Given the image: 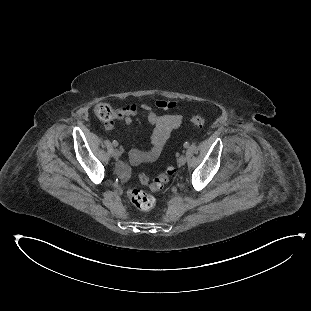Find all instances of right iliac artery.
I'll use <instances>...</instances> for the list:
<instances>
[{
    "label": "right iliac artery",
    "mask_w": 311,
    "mask_h": 311,
    "mask_svg": "<svg viewBox=\"0 0 311 311\" xmlns=\"http://www.w3.org/2000/svg\"><path fill=\"white\" fill-rule=\"evenodd\" d=\"M113 146H115V147L118 146V142L116 140L113 141Z\"/></svg>",
    "instance_id": "right-iliac-artery-1"
}]
</instances>
